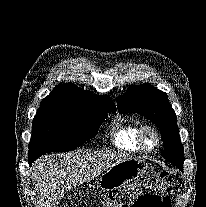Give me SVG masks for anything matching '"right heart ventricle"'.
I'll return each mask as SVG.
<instances>
[{
    "mask_svg": "<svg viewBox=\"0 0 206 207\" xmlns=\"http://www.w3.org/2000/svg\"><path fill=\"white\" fill-rule=\"evenodd\" d=\"M139 128L140 125L136 122H117L112 134L114 146L125 151L144 152L138 142Z\"/></svg>",
    "mask_w": 206,
    "mask_h": 207,
    "instance_id": "1",
    "label": "right heart ventricle"
}]
</instances>
